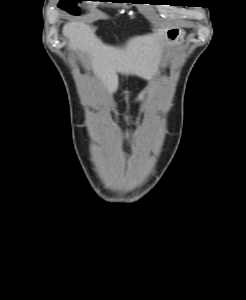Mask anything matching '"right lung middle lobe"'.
I'll use <instances>...</instances> for the list:
<instances>
[{"label": "right lung middle lobe", "instance_id": "obj_1", "mask_svg": "<svg viewBox=\"0 0 246 300\" xmlns=\"http://www.w3.org/2000/svg\"><path fill=\"white\" fill-rule=\"evenodd\" d=\"M79 1H86V0H79ZM58 7L66 10L67 12H69L72 15L80 14L78 7L74 3H71V1H69V0H64L63 2L58 4Z\"/></svg>", "mask_w": 246, "mask_h": 300}]
</instances>
